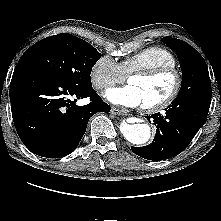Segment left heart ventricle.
Instances as JSON below:
<instances>
[{"label":"left heart ventricle","instance_id":"b2bd125f","mask_svg":"<svg viewBox=\"0 0 221 221\" xmlns=\"http://www.w3.org/2000/svg\"><path fill=\"white\" fill-rule=\"evenodd\" d=\"M175 79L172 75H162L155 78L132 77L129 84L136 87L142 105H152L165 99L174 87Z\"/></svg>","mask_w":221,"mask_h":221}]
</instances>
